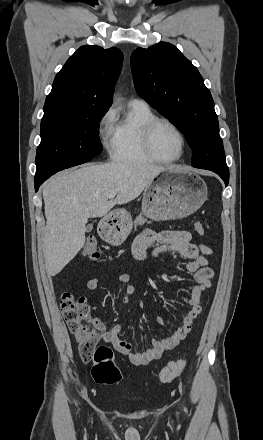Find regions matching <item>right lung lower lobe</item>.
Listing matches in <instances>:
<instances>
[{
    "label": "right lung lower lobe",
    "mask_w": 263,
    "mask_h": 440,
    "mask_svg": "<svg viewBox=\"0 0 263 440\" xmlns=\"http://www.w3.org/2000/svg\"><path fill=\"white\" fill-rule=\"evenodd\" d=\"M91 159H92L91 157L86 158L84 163L90 161ZM49 177L50 176H46V177L35 179V181H34L35 182V191H37L38 188L40 187V185Z\"/></svg>",
    "instance_id": "1"
}]
</instances>
